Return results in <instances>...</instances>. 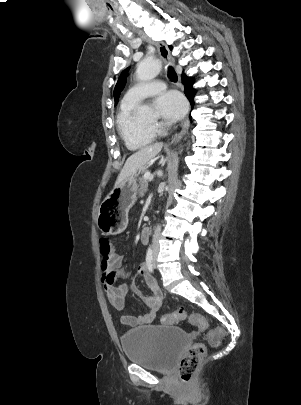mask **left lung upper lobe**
<instances>
[{
	"mask_svg": "<svg viewBox=\"0 0 301 405\" xmlns=\"http://www.w3.org/2000/svg\"><path fill=\"white\" fill-rule=\"evenodd\" d=\"M128 70H129V68L125 69V70L121 73V75H120V77H119V79H118V81H117V84H116V86H115V88H114L115 105L118 103L120 93H121V91L123 90V88H124V86H125L126 77H127V74H128Z\"/></svg>",
	"mask_w": 301,
	"mask_h": 405,
	"instance_id": "5c2ea615",
	"label": "left lung upper lobe"
}]
</instances>
